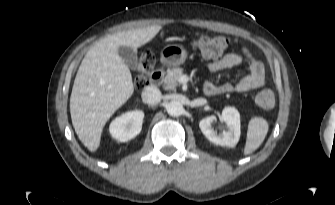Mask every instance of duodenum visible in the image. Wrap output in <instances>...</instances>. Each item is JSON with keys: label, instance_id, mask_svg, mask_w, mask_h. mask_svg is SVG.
<instances>
[{"label": "duodenum", "instance_id": "1", "mask_svg": "<svg viewBox=\"0 0 335 205\" xmlns=\"http://www.w3.org/2000/svg\"><path fill=\"white\" fill-rule=\"evenodd\" d=\"M163 76H164V69L162 67H158L150 75V84L153 86L159 85L163 79ZM203 92L206 95H214L215 90L213 88L204 86Z\"/></svg>", "mask_w": 335, "mask_h": 205}]
</instances>
